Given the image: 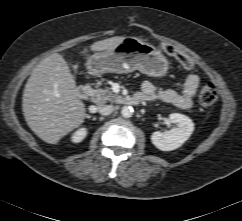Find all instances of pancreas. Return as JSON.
<instances>
[{
	"label": "pancreas",
	"instance_id": "obj_1",
	"mask_svg": "<svg viewBox=\"0 0 242 221\" xmlns=\"http://www.w3.org/2000/svg\"><path fill=\"white\" fill-rule=\"evenodd\" d=\"M100 83H96L95 88L92 90L91 100L96 104L106 103L108 101L119 103L121 101V97L114 94L113 91L109 87H105L104 89L100 88Z\"/></svg>",
	"mask_w": 242,
	"mask_h": 221
}]
</instances>
